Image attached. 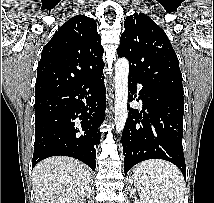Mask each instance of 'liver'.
<instances>
[{"mask_svg":"<svg viewBox=\"0 0 214 203\" xmlns=\"http://www.w3.org/2000/svg\"><path fill=\"white\" fill-rule=\"evenodd\" d=\"M36 203H84L91 193V173L82 162L54 156L32 172Z\"/></svg>","mask_w":214,"mask_h":203,"instance_id":"1","label":"liver"}]
</instances>
